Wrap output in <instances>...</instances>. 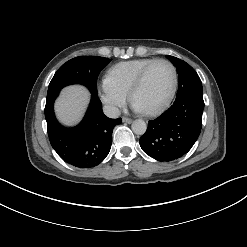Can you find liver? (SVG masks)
I'll return each mask as SVG.
<instances>
[{
    "instance_id": "liver-1",
    "label": "liver",
    "mask_w": 247,
    "mask_h": 247,
    "mask_svg": "<svg viewBox=\"0 0 247 247\" xmlns=\"http://www.w3.org/2000/svg\"><path fill=\"white\" fill-rule=\"evenodd\" d=\"M88 101L89 93L83 86L73 85L65 88L55 106L59 120L65 125L78 123Z\"/></svg>"
}]
</instances>
